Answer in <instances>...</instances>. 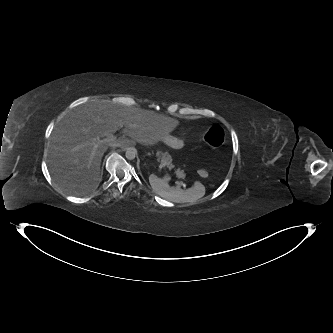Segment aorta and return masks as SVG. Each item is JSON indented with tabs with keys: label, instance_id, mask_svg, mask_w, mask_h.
<instances>
[{
	"label": "aorta",
	"instance_id": "aorta-1",
	"mask_svg": "<svg viewBox=\"0 0 333 333\" xmlns=\"http://www.w3.org/2000/svg\"><path fill=\"white\" fill-rule=\"evenodd\" d=\"M137 155V151L135 148L133 147H129L126 149V152H125V157L128 159V160H133L135 159Z\"/></svg>",
	"mask_w": 333,
	"mask_h": 333
}]
</instances>
